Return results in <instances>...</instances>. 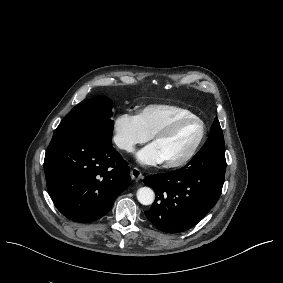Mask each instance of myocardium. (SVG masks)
Here are the masks:
<instances>
[{
	"mask_svg": "<svg viewBox=\"0 0 283 283\" xmlns=\"http://www.w3.org/2000/svg\"><path fill=\"white\" fill-rule=\"evenodd\" d=\"M187 121H196L200 123L201 130H200L199 136L196 142L194 143V145L192 146V148L190 149V151L182 159L178 161H165L166 166L169 168L183 167L194 159V157L197 155V153L199 152L200 148L202 147L205 141L206 134H207V126L204 120L196 115H193V114L183 115V116L176 118L165 129L161 130L160 132L154 135L155 140L169 138L175 133L179 125Z\"/></svg>",
	"mask_w": 283,
	"mask_h": 283,
	"instance_id": "myocardium-1",
	"label": "myocardium"
}]
</instances>
